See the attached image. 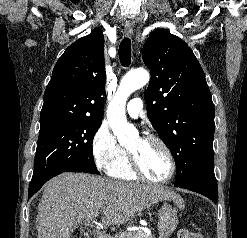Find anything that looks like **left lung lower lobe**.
Returning <instances> with one entry per match:
<instances>
[{
    "instance_id": "0a47b994",
    "label": "left lung lower lobe",
    "mask_w": 247,
    "mask_h": 238,
    "mask_svg": "<svg viewBox=\"0 0 247 238\" xmlns=\"http://www.w3.org/2000/svg\"><path fill=\"white\" fill-rule=\"evenodd\" d=\"M177 186L200 193L214 203L217 202L218 187L213 168L199 169Z\"/></svg>"
}]
</instances>
